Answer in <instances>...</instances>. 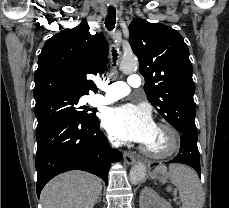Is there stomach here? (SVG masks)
Segmentation results:
<instances>
[{"instance_id": "1", "label": "stomach", "mask_w": 229, "mask_h": 208, "mask_svg": "<svg viewBox=\"0 0 229 208\" xmlns=\"http://www.w3.org/2000/svg\"><path fill=\"white\" fill-rule=\"evenodd\" d=\"M153 180H160V182H167L168 176L166 174H162V176H158V174H151Z\"/></svg>"}]
</instances>
